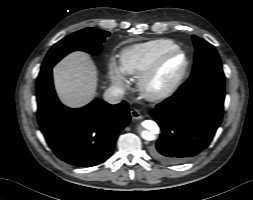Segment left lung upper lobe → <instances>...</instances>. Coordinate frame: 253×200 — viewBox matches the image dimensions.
<instances>
[{
	"label": "left lung upper lobe",
	"instance_id": "5c2ea615",
	"mask_svg": "<svg viewBox=\"0 0 253 200\" xmlns=\"http://www.w3.org/2000/svg\"><path fill=\"white\" fill-rule=\"evenodd\" d=\"M195 46L194 65L191 76L184 83L189 88L205 79L224 81L221 60L213 45L196 36H192Z\"/></svg>",
	"mask_w": 253,
	"mask_h": 200
}]
</instances>
